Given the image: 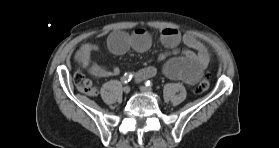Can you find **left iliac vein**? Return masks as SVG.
Here are the masks:
<instances>
[{
  "label": "left iliac vein",
  "instance_id": "4c4485c4",
  "mask_svg": "<svg viewBox=\"0 0 279 148\" xmlns=\"http://www.w3.org/2000/svg\"><path fill=\"white\" fill-rule=\"evenodd\" d=\"M140 90L144 93H151L152 89L150 87L147 86H140Z\"/></svg>",
  "mask_w": 279,
  "mask_h": 148
}]
</instances>
